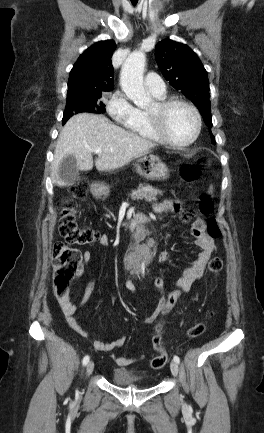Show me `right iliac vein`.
<instances>
[{
  "instance_id": "63e3f726",
  "label": "right iliac vein",
  "mask_w": 264,
  "mask_h": 433,
  "mask_svg": "<svg viewBox=\"0 0 264 433\" xmlns=\"http://www.w3.org/2000/svg\"><path fill=\"white\" fill-rule=\"evenodd\" d=\"M94 370V362L90 361L86 367V376H89Z\"/></svg>"
}]
</instances>
